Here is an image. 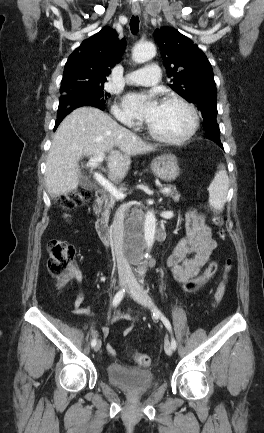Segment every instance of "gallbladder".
Returning <instances> with one entry per match:
<instances>
[{"label": "gallbladder", "instance_id": "gallbladder-1", "mask_svg": "<svg viewBox=\"0 0 264 433\" xmlns=\"http://www.w3.org/2000/svg\"><path fill=\"white\" fill-rule=\"evenodd\" d=\"M80 185L84 188H93V185L88 181V179L84 176L80 177Z\"/></svg>", "mask_w": 264, "mask_h": 433}]
</instances>
